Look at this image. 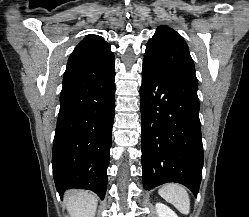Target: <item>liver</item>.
I'll list each match as a JSON object with an SVG mask.
<instances>
[{
  "instance_id": "obj_1",
  "label": "liver",
  "mask_w": 249,
  "mask_h": 217,
  "mask_svg": "<svg viewBox=\"0 0 249 217\" xmlns=\"http://www.w3.org/2000/svg\"><path fill=\"white\" fill-rule=\"evenodd\" d=\"M98 198L84 190H69L65 193V203L71 217H94Z\"/></svg>"
}]
</instances>
